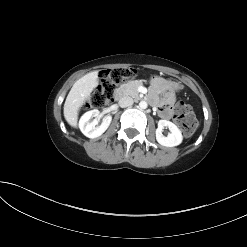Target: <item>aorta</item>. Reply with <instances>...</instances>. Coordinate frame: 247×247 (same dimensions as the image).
I'll use <instances>...</instances> for the list:
<instances>
[{
  "instance_id": "aorta-1",
  "label": "aorta",
  "mask_w": 247,
  "mask_h": 247,
  "mask_svg": "<svg viewBox=\"0 0 247 247\" xmlns=\"http://www.w3.org/2000/svg\"><path fill=\"white\" fill-rule=\"evenodd\" d=\"M148 106L147 102L146 101H140L139 103V108L140 109H146Z\"/></svg>"
}]
</instances>
